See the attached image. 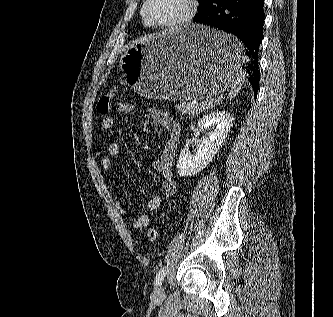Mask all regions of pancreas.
I'll list each match as a JSON object with an SVG mask.
<instances>
[{
  "label": "pancreas",
  "instance_id": "pancreas-1",
  "mask_svg": "<svg viewBox=\"0 0 333 317\" xmlns=\"http://www.w3.org/2000/svg\"><path fill=\"white\" fill-rule=\"evenodd\" d=\"M215 104L213 101H205L202 102L199 106L196 103H180L176 106V109L180 111L184 115H188L191 117L196 116L198 113L209 110L210 108H214Z\"/></svg>",
  "mask_w": 333,
  "mask_h": 317
}]
</instances>
